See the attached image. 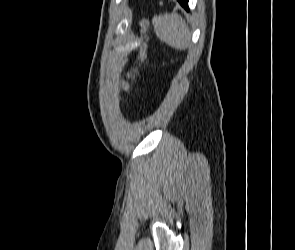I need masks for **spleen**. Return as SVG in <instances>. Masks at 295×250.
I'll return each instance as SVG.
<instances>
[{
	"instance_id": "3e777b00",
	"label": "spleen",
	"mask_w": 295,
	"mask_h": 250,
	"mask_svg": "<svg viewBox=\"0 0 295 250\" xmlns=\"http://www.w3.org/2000/svg\"><path fill=\"white\" fill-rule=\"evenodd\" d=\"M152 23L157 37L176 50H186L190 45L191 33L185 20L178 14L154 16Z\"/></svg>"
}]
</instances>
